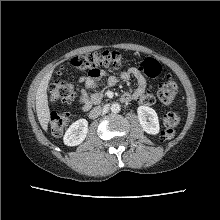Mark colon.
<instances>
[{"instance_id":"obj_1","label":"colon","mask_w":220,"mask_h":220,"mask_svg":"<svg viewBox=\"0 0 220 220\" xmlns=\"http://www.w3.org/2000/svg\"><path fill=\"white\" fill-rule=\"evenodd\" d=\"M123 57L117 51L95 52L74 57L71 68L88 71L94 74L96 71L105 69H115L123 65ZM142 71L150 78L157 77L161 72L160 63L154 58H146L142 62ZM65 69L58 73L57 78L49 88V98L52 102L71 103L77 97L76 88L64 78ZM178 93V85L173 79L166 80L158 91V99L164 104H171ZM145 105H152L155 102L153 95H145L142 99ZM181 120L180 114L176 111H168L163 116L165 129L162 132L163 140L173 138L174 128ZM70 121V114L63 111L52 112L50 115V125L52 133L59 136Z\"/></svg>"}]
</instances>
